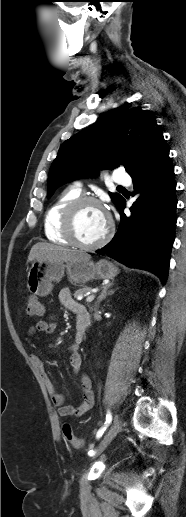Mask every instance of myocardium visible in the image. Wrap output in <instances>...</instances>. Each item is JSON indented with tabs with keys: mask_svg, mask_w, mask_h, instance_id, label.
<instances>
[{
	"mask_svg": "<svg viewBox=\"0 0 186 517\" xmlns=\"http://www.w3.org/2000/svg\"><path fill=\"white\" fill-rule=\"evenodd\" d=\"M96 205L104 210L101 201L93 196H80L73 200L66 208L63 216V231L69 241L76 247L83 250H94L104 246L112 237L114 232V224L108 217V228L105 234L94 243H84L77 235L76 220L81 209L86 205Z\"/></svg>",
	"mask_w": 186,
	"mask_h": 517,
	"instance_id": "1",
	"label": "myocardium"
}]
</instances>
